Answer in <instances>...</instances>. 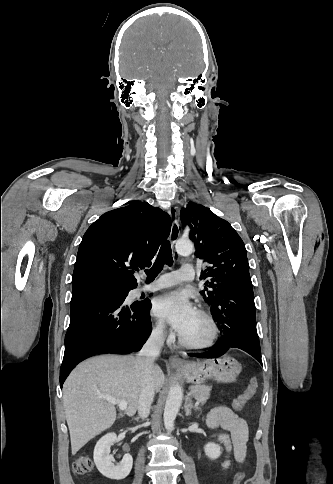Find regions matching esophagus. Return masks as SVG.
Here are the masks:
<instances>
[{
	"label": "esophagus",
	"instance_id": "1",
	"mask_svg": "<svg viewBox=\"0 0 333 484\" xmlns=\"http://www.w3.org/2000/svg\"><path fill=\"white\" fill-rule=\"evenodd\" d=\"M169 214L172 219L170 241H171V244L174 245L180 235L179 211L170 209ZM169 363L174 367H181L186 364V362L181 358H179L177 355H171L169 358Z\"/></svg>",
	"mask_w": 333,
	"mask_h": 484
}]
</instances>
